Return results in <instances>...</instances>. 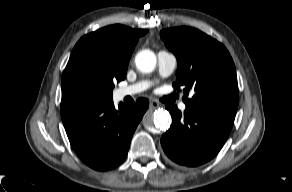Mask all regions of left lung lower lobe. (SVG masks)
Masks as SVG:
<instances>
[{
    "label": "left lung lower lobe",
    "mask_w": 292,
    "mask_h": 192,
    "mask_svg": "<svg viewBox=\"0 0 292 192\" xmlns=\"http://www.w3.org/2000/svg\"><path fill=\"white\" fill-rule=\"evenodd\" d=\"M172 125L162 136L165 154L175 163L195 167L214 158L226 142L235 115L186 108L184 115L176 106H166Z\"/></svg>",
    "instance_id": "1"
}]
</instances>
